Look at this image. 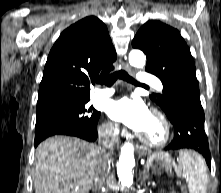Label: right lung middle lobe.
Returning a JSON list of instances; mask_svg holds the SVG:
<instances>
[{
	"instance_id": "dd1d6c3e",
	"label": "right lung middle lobe",
	"mask_w": 221,
	"mask_h": 193,
	"mask_svg": "<svg viewBox=\"0 0 221 193\" xmlns=\"http://www.w3.org/2000/svg\"><path fill=\"white\" fill-rule=\"evenodd\" d=\"M89 100H57L37 104L35 138L59 134L67 129L94 130L100 112L86 106Z\"/></svg>"
}]
</instances>
